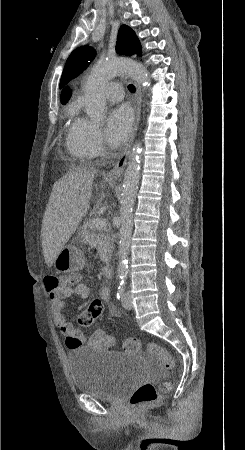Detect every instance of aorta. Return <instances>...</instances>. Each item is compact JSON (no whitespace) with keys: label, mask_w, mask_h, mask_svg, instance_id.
Instances as JSON below:
<instances>
[{"label":"aorta","mask_w":245,"mask_h":450,"mask_svg":"<svg viewBox=\"0 0 245 450\" xmlns=\"http://www.w3.org/2000/svg\"><path fill=\"white\" fill-rule=\"evenodd\" d=\"M121 73H127L139 83L147 86L150 85L146 68L134 60L117 58L96 63L91 70L85 86L86 112L93 122L101 123L106 113V101L103 94L105 83ZM140 153L141 143L137 142L134 144L129 156L122 186L119 263L117 270L121 278H126L128 274V255L133 226L132 213L140 180Z\"/></svg>","instance_id":"aorta-1"}]
</instances>
